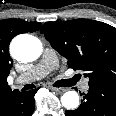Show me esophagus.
I'll return each mask as SVG.
<instances>
[{
  "instance_id": "obj_1",
  "label": "esophagus",
  "mask_w": 116,
  "mask_h": 116,
  "mask_svg": "<svg viewBox=\"0 0 116 116\" xmlns=\"http://www.w3.org/2000/svg\"><path fill=\"white\" fill-rule=\"evenodd\" d=\"M50 88L56 93H63L66 91L65 88H58V87H54V86H50Z\"/></svg>"
}]
</instances>
